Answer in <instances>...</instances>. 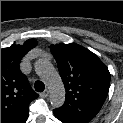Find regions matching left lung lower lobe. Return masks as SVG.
Returning <instances> with one entry per match:
<instances>
[{"mask_svg":"<svg viewBox=\"0 0 123 123\" xmlns=\"http://www.w3.org/2000/svg\"><path fill=\"white\" fill-rule=\"evenodd\" d=\"M54 115H55V117H56L58 120H60V121H62V122H64V123H72V122L68 121V120L65 119V118H62V117H60V116H58V115H56V114H54Z\"/></svg>","mask_w":123,"mask_h":123,"instance_id":"1","label":"left lung lower lobe"}]
</instances>
